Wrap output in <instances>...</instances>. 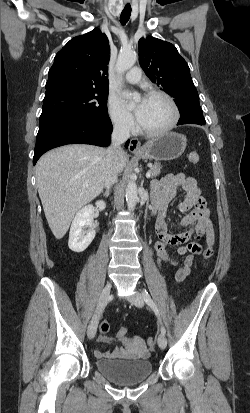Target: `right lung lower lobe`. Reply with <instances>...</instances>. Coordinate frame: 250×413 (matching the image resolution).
<instances>
[{
	"mask_svg": "<svg viewBox=\"0 0 250 413\" xmlns=\"http://www.w3.org/2000/svg\"><path fill=\"white\" fill-rule=\"evenodd\" d=\"M112 130L108 116H63L52 119L39 127L33 162L35 164L46 151L66 144L108 146Z\"/></svg>",
	"mask_w": 250,
	"mask_h": 413,
	"instance_id": "98d812e1",
	"label": "right lung lower lobe"
}]
</instances>
